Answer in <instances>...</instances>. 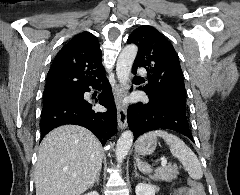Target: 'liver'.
Wrapping results in <instances>:
<instances>
[{
    "instance_id": "1",
    "label": "liver",
    "mask_w": 240,
    "mask_h": 195,
    "mask_svg": "<svg viewBox=\"0 0 240 195\" xmlns=\"http://www.w3.org/2000/svg\"><path fill=\"white\" fill-rule=\"evenodd\" d=\"M101 143L86 127L60 125L42 139L35 169L36 195H80L102 165Z\"/></svg>"
}]
</instances>
